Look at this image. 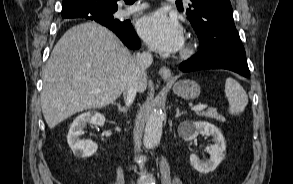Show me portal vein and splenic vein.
I'll return each instance as SVG.
<instances>
[{
    "mask_svg": "<svg viewBox=\"0 0 293 184\" xmlns=\"http://www.w3.org/2000/svg\"><path fill=\"white\" fill-rule=\"evenodd\" d=\"M93 92H94V93H98V92H100V90L97 89V90H94ZM207 107H208V106L205 105V104H200V105H196V106L192 107L191 109H192L193 111H201V110L206 109Z\"/></svg>",
    "mask_w": 293,
    "mask_h": 184,
    "instance_id": "portal-vein-and-splenic-vein-1",
    "label": "portal vein and splenic vein"
}]
</instances>
